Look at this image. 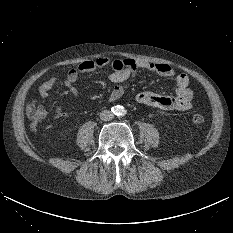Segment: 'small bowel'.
<instances>
[{
    "mask_svg": "<svg viewBox=\"0 0 233 233\" xmlns=\"http://www.w3.org/2000/svg\"><path fill=\"white\" fill-rule=\"evenodd\" d=\"M106 66H110L112 69L107 75L108 80L116 84L107 95L109 102L120 99L126 93L130 86L129 80L136 71L145 70L174 79L176 89L174 94L169 95L149 91L141 92L136 96L137 103L166 111H184L192 107L193 92L189 88V76L185 73H177L172 66L163 63H152L131 58L99 57L83 61L70 69L64 76L63 82L73 96L79 97V90L75 86L79 75L102 69ZM58 79L59 76H52L39 86L40 102L38 107L43 108V103L49 91L55 86ZM62 111L63 105H58L55 110L56 115L60 116Z\"/></svg>",
    "mask_w": 233,
    "mask_h": 233,
    "instance_id": "obj_1",
    "label": "small bowel"
}]
</instances>
